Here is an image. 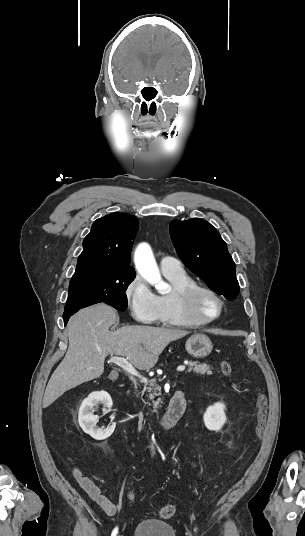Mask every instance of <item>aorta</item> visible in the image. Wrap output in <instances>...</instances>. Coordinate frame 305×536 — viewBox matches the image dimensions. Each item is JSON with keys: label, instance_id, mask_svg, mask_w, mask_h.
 Returning <instances> with one entry per match:
<instances>
[{"label": "aorta", "instance_id": "1", "mask_svg": "<svg viewBox=\"0 0 305 536\" xmlns=\"http://www.w3.org/2000/svg\"><path fill=\"white\" fill-rule=\"evenodd\" d=\"M134 262L137 271L148 283L155 286L161 293L167 290L168 284L162 280L152 249L148 244L138 245L134 254Z\"/></svg>", "mask_w": 305, "mask_h": 536}]
</instances>
